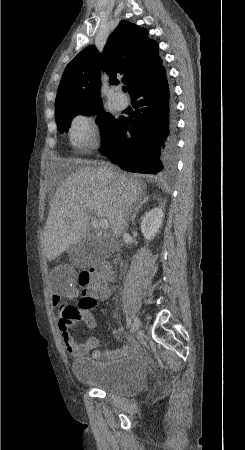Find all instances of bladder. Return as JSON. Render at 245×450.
<instances>
[{
    "instance_id": "bladder-1",
    "label": "bladder",
    "mask_w": 245,
    "mask_h": 450,
    "mask_svg": "<svg viewBox=\"0 0 245 450\" xmlns=\"http://www.w3.org/2000/svg\"><path fill=\"white\" fill-rule=\"evenodd\" d=\"M73 366L75 377L81 384L124 397L140 393L146 380L142 360L132 356L83 358L74 361Z\"/></svg>"
}]
</instances>
